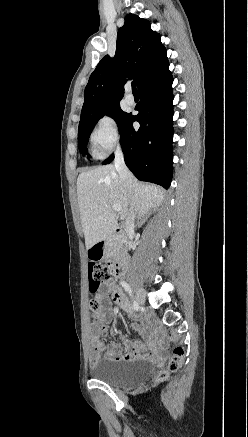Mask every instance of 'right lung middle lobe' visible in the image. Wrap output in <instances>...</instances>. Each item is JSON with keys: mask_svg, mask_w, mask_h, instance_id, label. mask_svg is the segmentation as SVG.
I'll return each instance as SVG.
<instances>
[{"mask_svg": "<svg viewBox=\"0 0 248 437\" xmlns=\"http://www.w3.org/2000/svg\"><path fill=\"white\" fill-rule=\"evenodd\" d=\"M105 115L112 117L116 121L119 129V133L122 132L125 124L127 123V121L131 116V114L123 112L120 108V105H118L102 113L87 117L86 119L81 121L79 123V128H78V141H79L78 146L81 153L84 154L86 152L87 141L95 124L98 122L100 118H102Z\"/></svg>", "mask_w": 248, "mask_h": 437, "instance_id": "obj_1", "label": "right lung middle lobe"}]
</instances>
